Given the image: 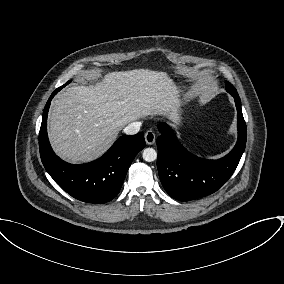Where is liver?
Listing matches in <instances>:
<instances>
[{
	"label": "liver",
	"instance_id": "liver-1",
	"mask_svg": "<svg viewBox=\"0 0 284 284\" xmlns=\"http://www.w3.org/2000/svg\"><path fill=\"white\" fill-rule=\"evenodd\" d=\"M180 107L178 89L164 72H110L88 86L69 87L53 100L48 136L62 159L90 162L132 121L160 115L178 125Z\"/></svg>",
	"mask_w": 284,
	"mask_h": 284
}]
</instances>
